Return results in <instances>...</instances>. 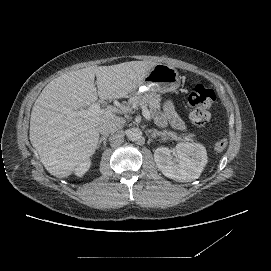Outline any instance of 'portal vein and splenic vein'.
<instances>
[{
    "mask_svg": "<svg viewBox=\"0 0 271 271\" xmlns=\"http://www.w3.org/2000/svg\"><path fill=\"white\" fill-rule=\"evenodd\" d=\"M98 113H101V103H100V101H96L95 103L91 104L89 106L88 110L78 111L77 115L88 116L89 114H98ZM143 116L149 123L152 122V116H151L148 109L143 110Z\"/></svg>",
    "mask_w": 271,
    "mask_h": 271,
    "instance_id": "obj_1",
    "label": "portal vein and splenic vein"
}]
</instances>
